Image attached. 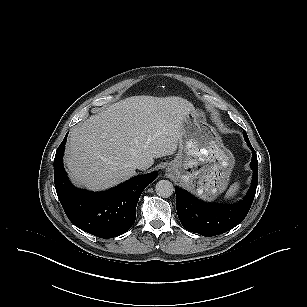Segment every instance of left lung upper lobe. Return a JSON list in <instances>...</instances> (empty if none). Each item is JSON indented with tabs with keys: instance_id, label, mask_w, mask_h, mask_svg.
I'll return each mask as SVG.
<instances>
[{
	"instance_id": "obj_1",
	"label": "left lung upper lobe",
	"mask_w": 307,
	"mask_h": 307,
	"mask_svg": "<svg viewBox=\"0 0 307 307\" xmlns=\"http://www.w3.org/2000/svg\"><path fill=\"white\" fill-rule=\"evenodd\" d=\"M243 136H244V138H245V141L248 142V143H250V142H249V139H248V136H247V134H246L245 131L243 132Z\"/></svg>"
}]
</instances>
